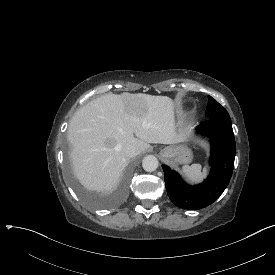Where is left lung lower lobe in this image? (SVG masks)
I'll use <instances>...</instances> for the list:
<instances>
[{
	"instance_id": "0a47b994",
	"label": "left lung lower lobe",
	"mask_w": 275,
	"mask_h": 275,
	"mask_svg": "<svg viewBox=\"0 0 275 275\" xmlns=\"http://www.w3.org/2000/svg\"><path fill=\"white\" fill-rule=\"evenodd\" d=\"M197 133L210 139L212 167L208 178L199 185L186 184L181 176L167 165H162L165 186L170 200L179 208L198 210L204 208L223 193L233 172L236 144L231 122L207 119L197 127Z\"/></svg>"
}]
</instances>
